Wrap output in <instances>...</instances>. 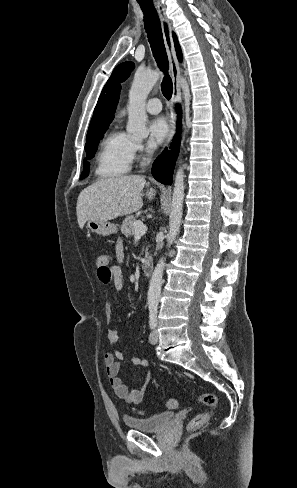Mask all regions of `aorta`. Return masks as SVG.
I'll return each instance as SVG.
<instances>
[{
  "label": "aorta",
  "mask_w": 297,
  "mask_h": 488,
  "mask_svg": "<svg viewBox=\"0 0 297 488\" xmlns=\"http://www.w3.org/2000/svg\"><path fill=\"white\" fill-rule=\"evenodd\" d=\"M161 76L160 71L142 72L137 71L134 76L131 89L129 91L128 103V123L127 132L144 137L147 134V114L145 111L146 99L151 89ZM184 171L179 167L171 201V214L169 217V232L167 234V246L170 247L175 241L181 224L183 203H184ZM165 258L162 257L149 282L147 304L149 307H156L159 302L161 287L163 283V270Z\"/></svg>",
  "instance_id": "obj_1"
}]
</instances>
